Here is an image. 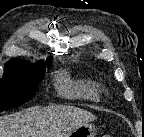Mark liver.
<instances>
[{"label": "liver", "mask_w": 144, "mask_h": 137, "mask_svg": "<svg viewBox=\"0 0 144 137\" xmlns=\"http://www.w3.org/2000/svg\"><path fill=\"white\" fill-rule=\"evenodd\" d=\"M94 120L95 115L78 107H32L3 117L0 137H68L74 129Z\"/></svg>", "instance_id": "6515ba94"}]
</instances>
